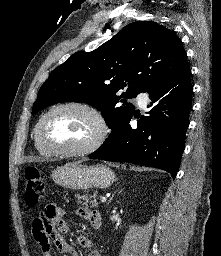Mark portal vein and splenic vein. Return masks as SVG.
Instances as JSON below:
<instances>
[{"instance_id": "portal-vein-and-splenic-vein-1", "label": "portal vein and splenic vein", "mask_w": 221, "mask_h": 256, "mask_svg": "<svg viewBox=\"0 0 221 256\" xmlns=\"http://www.w3.org/2000/svg\"><path fill=\"white\" fill-rule=\"evenodd\" d=\"M107 198L106 197H100L101 202H106Z\"/></svg>"}]
</instances>
